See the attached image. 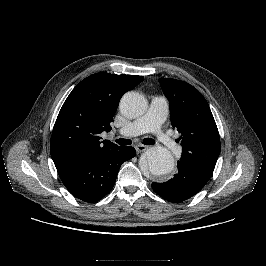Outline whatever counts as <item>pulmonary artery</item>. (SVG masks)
<instances>
[{
    "instance_id": "1",
    "label": "pulmonary artery",
    "mask_w": 266,
    "mask_h": 266,
    "mask_svg": "<svg viewBox=\"0 0 266 266\" xmlns=\"http://www.w3.org/2000/svg\"><path fill=\"white\" fill-rule=\"evenodd\" d=\"M168 114L169 104L167 99L163 96H154L150 101L147 112L139 119L122 127L119 130V134L125 137H134L146 132H152L162 142L167 151L176 154L179 151L177 144L161 128Z\"/></svg>"
}]
</instances>
